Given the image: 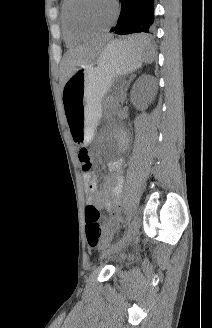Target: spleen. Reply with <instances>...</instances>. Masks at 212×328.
I'll list each match as a JSON object with an SVG mask.
<instances>
[{
    "label": "spleen",
    "instance_id": "spleen-1",
    "mask_svg": "<svg viewBox=\"0 0 212 328\" xmlns=\"http://www.w3.org/2000/svg\"><path fill=\"white\" fill-rule=\"evenodd\" d=\"M144 37H142L141 35H137V36H132V37H129L127 40H116L117 44L119 45H126V47L128 49H133L131 48L130 44H132L133 42H136V41H139V40H142ZM146 48L144 49H141V48H138V49H133V50H145ZM152 53H146L145 56H144V61L146 63H151L152 62Z\"/></svg>",
    "mask_w": 212,
    "mask_h": 328
}]
</instances>
